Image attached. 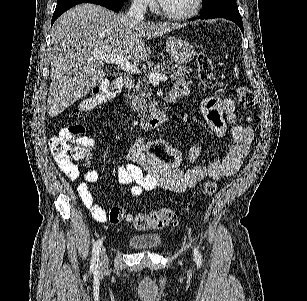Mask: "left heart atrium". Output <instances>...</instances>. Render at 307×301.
I'll return each instance as SVG.
<instances>
[{"label":"left heart atrium","mask_w":307,"mask_h":301,"mask_svg":"<svg viewBox=\"0 0 307 301\" xmlns=\"http://www.w3.org/2000/svg\"><path fill=\"white\" fill-rule=\"evenodd\" d=\"M130 62H141V61H130Z\"/></svg>","instance_id":"1"}]
</instances>
